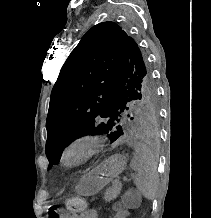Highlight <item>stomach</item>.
I'll return each mask as SVG.
<instances>
[{
    "label": "stomach",
    "instance_id": "obj_1",
    "mask_svg": "<svg viewBox=\"0 0 211 218\" xmlns=\"http://www.w3.org/2000/svg\"><path fill=\"white\" fill-rule=\"evenodd\" d=\"M126 168V158L115 154L103 161L96 168L82 176L77 185V191L84 196L98 193L104 186L118 177Z\"/></svg>",
    "mask_w": 211,
    "mask_h": 218
}]
</instances>
